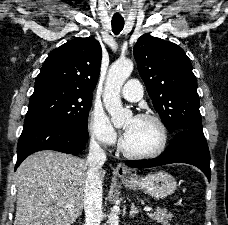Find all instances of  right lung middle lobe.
<instances>
[{"label": "right lung middle lobe", "instance_id": "right-lung-middle-lobe-1", "mask_svg": "<svg viewBox=\"0 0 228 225\" xmlns=\"http://www.w3.org/2000/svg\"><path fill=\"white\" fill-rule=\"evenodd\" d=\"M93 94L57 83L35 85L25 121L55 118L87 129Z\"/></svg>", "mask_w": 228, "mask_h": 225}]
</instances>
